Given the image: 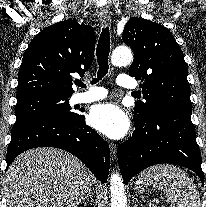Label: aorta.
Instances as JSON below:
<instances>
[{
    "mask_svg": "<svg viewBox=\"0 0 206 207\" xmlns=\"http://www.w3.org/2000/svg\"><path fill=\"white\" fill-rule=\"evenodd\" d=\"M132 61V53L127 47L116 48L111 56L114 66H125ZM111 207H126L127 199L122 177L118 173H112L110 178Z\"/></svg>",
    "mask_w": 206,
    "mask_h": 207,
    "instance_id": "obj_1",
    "label": "aorta"
}]
</instances>
